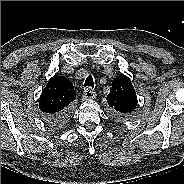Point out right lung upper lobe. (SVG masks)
Here are the masks:
<instances>
[{
	"label": "right lung upper lobe",
	"instance_id": "right-lung-upper-lobe-1",
	"mask_svg": "<svg viewBox=\"0 0 184 184\" xmlns=\"http://www.w3.org/2000/svg\"><path fill=\"white\" fill-rule=\"evenodd\" d=\"M76 99L73 84L63 76L49 79L39 99V109L44 115H55L68 109Z\"/></svg>",
	"mask_w": 184,
	"mask_h": 184
}]
</instances>
